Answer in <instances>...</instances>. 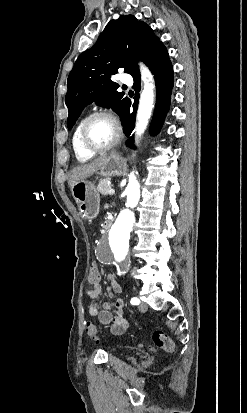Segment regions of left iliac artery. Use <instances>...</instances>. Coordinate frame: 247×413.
Masks as SVG:
<instances>
[{"mask_svg": "<svg viewBox=\"0 0 247 413\" xmlns=\"http://www.w3.org/2000/svg\"><path fill=\"white\" fill-rule=\"evenodd\" d=\"M130 303H131L132 305H139L140 300H139L138 298H136V297H133V298L131 299Z\"/></svg>", "mask_w": 247, "mask_h": 413, "instance_id": "obj_1", "label": "left iliac artery"}]
</instances>
